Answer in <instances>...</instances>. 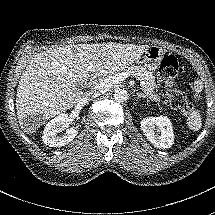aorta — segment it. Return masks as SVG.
<instances>
[{
  "instance_id": "762f6f07",
  "label": "aorta",
  "mask_w": 215,
  "mask_h": 215,
  "mask_svg": "<svg viewBox=\"0 0 215 215\" xmlns=\"http://www.w3.org/2000/svg\"><path fill=\"white\" fill-rule=\"evenodd\" d=\"M129 99V94L126 90L120 89L115 91L114 93V100L118 103L125 102Z\"/></svg>"
}]
</instances>
